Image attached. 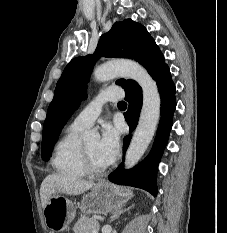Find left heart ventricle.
Instances as JSON below:
<instances>
[{
    "label": "left heart ventricle",
    "mask_w": 227,
    "mask_h": 233,
    "mask_svg": "<svg viewBox=\"0 0 227 233\" xmlns=\"http://www.w3.org/2000/svg\"><path fill=\"white\" fill-rule=\"evenodd\" d=\"M84 146H85L92 162L96 166L103 167V166L107 165V163L105 161H103L102 158L99 156V153H98L99 142L98 141L87 143Z\"/></svg>",
    "instance_id": "b2bd125f"
}]
</instances>
